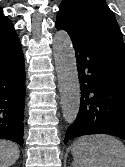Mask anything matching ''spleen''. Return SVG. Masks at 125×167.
<instances>
[{"label":"spleen","mask_w":125,"mask_h":167,"mask_svg":"<svg viewBox=\"0 0 125 167\" xmlns=\"http://www.w3.org/2000/svg\"><path fill=\"white\" fill-rule=\"evenodd\" d=\"M71 153L79 167H125V146L108 135H89L71 145Z\"/></svg>","instance_id":"obj_1"}]
</instances>
